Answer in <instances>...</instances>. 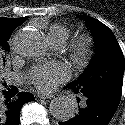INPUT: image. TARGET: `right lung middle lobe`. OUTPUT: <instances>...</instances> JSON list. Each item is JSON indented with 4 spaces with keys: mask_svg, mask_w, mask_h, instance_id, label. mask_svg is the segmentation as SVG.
Returning a JSON list of instances; mask_svg holds the SVG:
<instances>
[{
    "mask_svg": "<svg viewBox=\"0 0 125 125\" xmlns=\"http://www.w3.org/2000/svg\"><path fill=\"white\" fill-rule=\"evenodd\" d=\"M14 29V27L0 26V48L9 51V45L7 41L11 37V34L14 31ZM3 60L5 61L4 57Z\"/></svg>",
    "mask_w": 125,
    "mask_h": 125,
    "instance_id": "1",
    "label": "right lung middle lobe"
}]
</instances>
